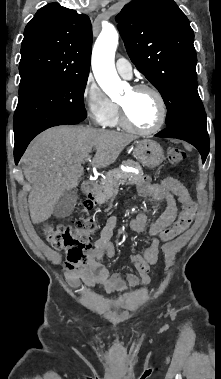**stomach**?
<instances>
[{"label":"stomach","instance_id":"1","mask_svg":"<svg viewBox=\"0 0 221 379\" xmlns=\"http://www.w3.org/2000/svg\"><path fill=\"white\" fill-rule=\"evenodd\" d=\"M134 154L142 165L149 168L159 166L165 159L164 152L160 144L151 139L137 141Z\"/></svg>","mask_w":221,"mask_h":379}]
</instances>
